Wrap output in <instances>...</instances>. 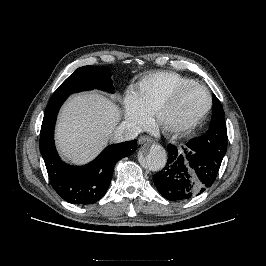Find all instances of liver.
Wrapping results in <instances>:
<instances>
[{"mask_svg": "<svg viewBox=\"0 0 266 266\" xmlns=\"http://www.w3.org/2000/svg\"><path fill=\"white\" fill-rule=\"evenodd\" d=\"M120 115L119 107L99 93L72 96L63 106L56 125L60 154L75 164L91 161L112 137Z\"/></svg>", "mask_w": 266, "mask_h": 266, "instance_id": "1", "label": "liver"}]
</instances>
